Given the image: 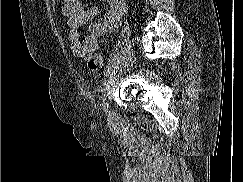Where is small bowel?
I'll use <instances>...</instances> for the list:
<instances>
[{
  "instance_id": "small-bowel-1",
  "label": "small bowel",
  "mask_w": 243,
  "mask_h": 182,
  "mask_svg": "<svg viewBox=\"0 0 243 182\" xmlns=\"http://www.w3.org/2000/svg\"><path fill=\"white\" fill-rule=\"evenodd\" d=\"M110 10L103 20H95L99 8H85L81 0H64L62 13L69 29L70 48L74 56L88 60L99 47V39L117 28L126 11L125 0H107ZM88 25V35H81V27Z\"/></svg>"
}]
</instances>
